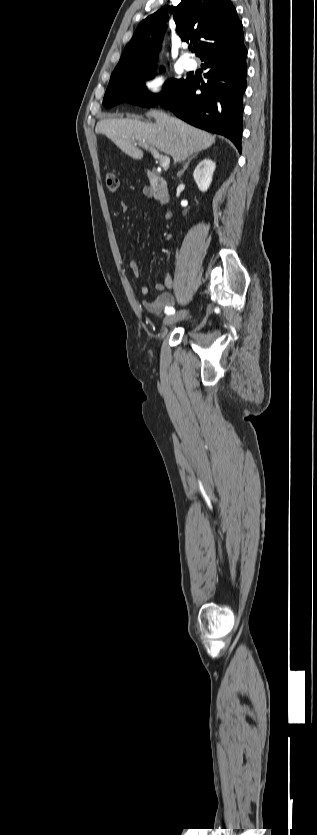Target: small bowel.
I'll return each mask as SVG.
<instances>
[{
    "instance_id": "obj_1",
    "label": "small bowel",
    "mask_w": 317,
    "mask_h": 835,
    "mask_svg": "<svg viewBox=\"0 0 317 835\" xmlns=\"http://www.w3.org/2000/svg\"><path fill=\"white\" fill-rule=\"evenodd\" d=\"M148 190H144V194L147 195ZM120 208L122 212H126L129 209V206L126 202H121ZM136 243H140V236L138 233ZM130 270L135 278H137L140 274V265L139 262L136 260L131 261L130 263ZM174 287L172 275L167 272L165 274L164 280L160 282H156L154 288L156 291H159L160 294L152 300H143L142 304L143 307L151 314H160L161 312L165 311L166 308L173 307L174 305V297L171 292L165 291L166 289L171 290ZM149 292V289L146 285H141L139 288V294L141 296H146Z\"/></svg>"
}]
</instances>
